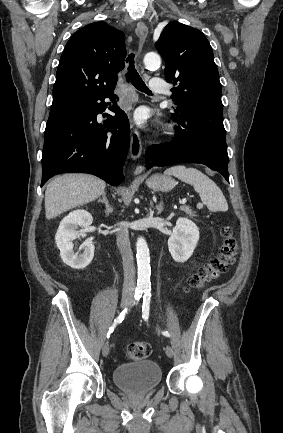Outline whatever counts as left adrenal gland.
Instances as JSON below:
<instances>
[{
	"label": "left adrenal gland",
	"mask_w": 283,
	"mask_h": 433,
	"mask_svg": "<svg viewBox=\"0 0 283 433\" xmlns=\"http://www.w3.org/2000/svg\"><path fill=\"white\" fill-rule=\"evenodd\" d=\"M150 204H151V206H153L152 200H151ZM156 208H157V214H161V212L163 210L162 204H157ZM150 210H151V208H150Z\"/></svg>",
	"instance_id": "left-adrenal-gland-1"
}]
</instances>
